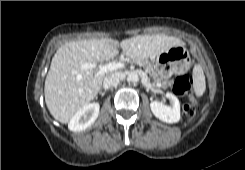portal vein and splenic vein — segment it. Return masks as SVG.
Wrapping results in <instances>:
<instances>
[{
  "label": "portal vein and splenic vein",
  "instance_id": "portal-vein-and-splenic-vein-1",
  "mask_svg": "<svg viewBox=\"0 0 245 170\" xmlns=\"http://www.w3.org/2000/svg\"><path fill=\"white\" fill-rule=\"evenodd\" d=\"M96 67H97L96 63H88L87 62V63L82 64L83 69H93ZM123 67H124V64L122 62H110V63L105 64V65H99L98 66L99 71L97 72V75H102V74H105L109 71H114V70H117V69H120Z\"/></svg>",
  "mask_w": 245,
  "mask_h": 170
}]
</instances>
